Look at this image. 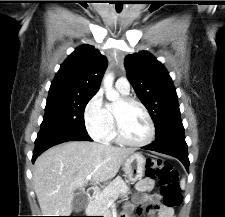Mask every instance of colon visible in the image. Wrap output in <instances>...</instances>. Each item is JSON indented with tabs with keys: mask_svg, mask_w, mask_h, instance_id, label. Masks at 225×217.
Masks as SVG:
<instances>
[{
	"mask_svg": "<svg viewBox=\"0 0 225 217\" xmlns=\"http://www.w3.org/2000/svg\"><path fill=\"white\" fill-rule=\"evenodd\" d=\"M146 175L159 180L164 206L174 208L181 205L182 193L178 172L170 163L162 159H149L146 165Z\"/></svg>",
	"mask_w": 225,
	"mask_h": 217,
	"instance_id": "colon-1",
	"label": "colon"
}]
</instances>
